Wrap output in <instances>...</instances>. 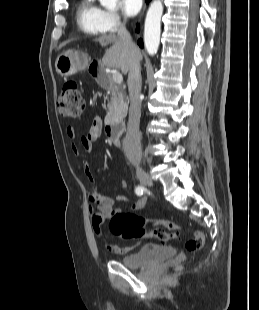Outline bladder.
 <instances>
[{
	"label": "bladder",
	"instance_id": "31cf9c89",
	"mask_svg": "<svg viewBox=\"0 0 259 310\" xmlns=\"http://www.w3.org/2000/svg\"><path fill=\"white\" fill-rule=\"evenodd\" d=\"M175 253L172 246L150 244L140 247L132 254L121 257L119 261L128 268H142L170 259Z\"/></svg>",
	"mask_w": 259,
	"mask_h": 310
}]
</instances>
